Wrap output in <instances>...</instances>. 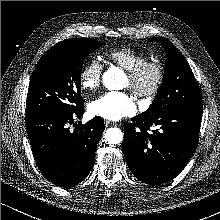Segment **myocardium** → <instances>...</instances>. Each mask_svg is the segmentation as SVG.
Listing matches in <instances>:
<instances>
[{"label": "myocardium", "mask_w": 220, "mask_h": 220, "mask_svg": "<svg viewBox=\"0 0 220 220\" xmlns=\"http://www.w3.org/2000/svg\"><path fill=\"white\" fill-rule=\"evenodd\" d=\"M152 72L153 78L151 82H146V75ZM130 80V88L134 94L140 98L152 99L161 89L165 79V69L163 64L158 60H147L128 71Z\"/></svg>", "instance_id": "f54148a6"}]
</instances>
